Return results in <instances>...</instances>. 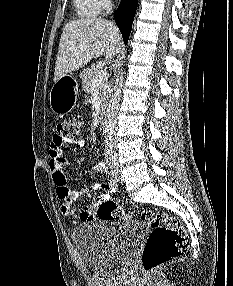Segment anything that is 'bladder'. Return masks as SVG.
<instances>
[{"instance_id":"31cf9c89","label":"bladder","mask_w":233,"mask_h":286,"mask_svg":"<svg viewBox=\"0 0 233 286\" xmlns=\"http://www.w3.org/2000/svg\"><path fill=\"white\" fill-rule=\"evenodd\" d=\"M145 230L139 221L90 222L75 229L74 241L90 272L109 273L126 267Z\"/></svg>"}]
</instances>
